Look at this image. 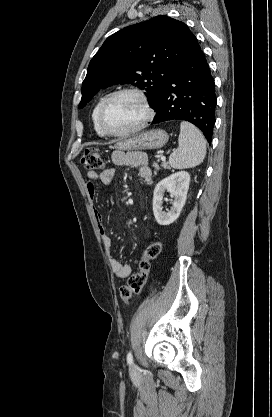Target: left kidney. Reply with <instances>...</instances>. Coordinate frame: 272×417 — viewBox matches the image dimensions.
<instances>
[{
    "mask_svg": "<svg viewBox=\"0 0 272 417\" xmlns=\"http://www.w3.org/2000/svg\"><path fill=\"white\" fill-rule=\"evenodd\" d=\"M189 183V173L179 171L164 178L156 185L153 195V213L158 224L170 225L179 217L186 202ZM166 190L170 192L174 200H171V209L163 212V195Z\"/></svg>",
    "mask_w": 272,
    "mask_h": 417,
    "instance_id": "obj_1",
    "label": "left kidney"
}]
</instances>
